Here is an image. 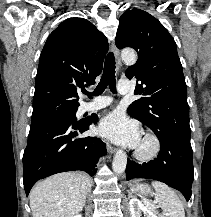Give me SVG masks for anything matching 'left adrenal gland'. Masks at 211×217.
I'll use <instances>...</instances> for the list:
<instances>
[{"mask_svg": "<svg viewBox=\"0 0 211 217\" xmlns=\"http://www.w3.org/2000/svg\"><path fill=\"white\" fill-rule=\"evenodd\" d=\"M133 195H132V192H130V191H128V197L130 198V197H132Z\"/></svg>", "mask_w": 211, "mask_h": 217, "instance_id": "left-adrenal-gland-1", "label": "left adrenal gland"}]
</instances>
